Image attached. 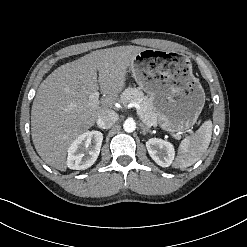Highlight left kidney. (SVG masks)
Wrapping results in <instances>:
<instances>
[{"label": "left kidney", "mask_w": 247, "mask_h": 247, "mask_svg": "<svg viewBox=\"0 0 247 247\" xmlns=\"http://www.w3.org/2000/svg\"><path fill=\"white\" fill-rule=\"evenodd\" d=\"M146 148L151 158L161 167H169L175 156V150L170 142L151 138L146 142Z\"/></svg>", "instance_id": "obj_1"}]
</instances>
